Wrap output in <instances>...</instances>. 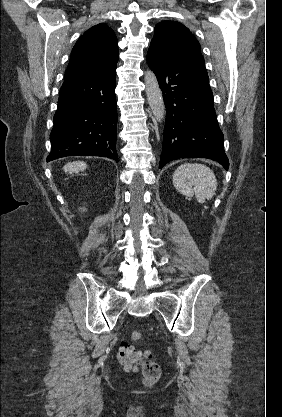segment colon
Wrapping results in <instances>:
<instances>
[{
    "label": "colon",
    "mask_w": 282,
    "mask_h": 417,
    "mask_svg": "<svg viewBox=\"0 0 282 417\" xmlns=\"http://www.w3.org/2000/svg\"><path fill=\"white\" fill-rule=\"evenodd\" d=\"M130 336L133 341L138 343L142 342V334L138 330H133ZM146 353L148 354L149 352L147 351ZM139 357H143V354L139 355V350L135 349L131 344L126 342L120 344L117 358L118 363L122 366L125 372H136L135 368L137 366L135 360ZM139 373L142 374V379L145 383H154L161 376V368L159 364L152 361L149 365H144L142 371Z\"/></svg>",
    "instance_id": "colon-1"
}]
</instances>
